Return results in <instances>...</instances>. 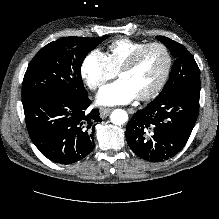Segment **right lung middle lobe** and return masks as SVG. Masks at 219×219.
<instances>
[{
    "instance_id": "1",
    "label": "right lung middle lobe",
    "mask_w": 219,
    "mask_h": 219,
    "mask_svg": "<svg viewBox=\"0 0 219 219\" xmlns=\"http://www.w3.org/2000/svg\"><path fill=\"white\" fill-rule=\"evenodd\" d=\"M107 38L63 37L43 47L25 73L22 103L61 92L88 95L81 78V65L89 51Z\"/></svg>"
}]
</instances>
